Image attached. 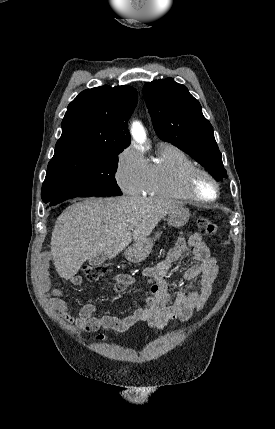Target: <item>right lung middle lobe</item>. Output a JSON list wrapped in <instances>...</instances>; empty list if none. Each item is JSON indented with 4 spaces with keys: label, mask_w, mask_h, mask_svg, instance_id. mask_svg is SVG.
I'll list each match as a JSON object with an SVG mask.
<instances>
[{
    "label": "right lung middle lobe",
    "mask_w": 275,
    "mask_h": 429,
    "mask_svg": "<svg viewBox=\"0 0 275 429\" xmlns=\"http://www.w3.org/2000/svg\"><path fill=\"white\" fill-rule=\"evenodd\" d=\"M120 152L122 150L55 153L42 185L43 202L67 195H122L114 177Z\"/></svg>",
    "instance_id": "right-lung-middle-lobe-1"
}]
</instances>
